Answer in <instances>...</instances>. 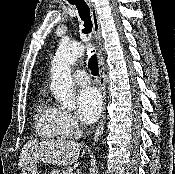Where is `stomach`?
I'll return each mask as SVG.
<instances>
[{"label": "stomach", "instance_id": "0dacf381", "mask_svg": "<svg viewBox=\"0 0 175 174\" xmlns=\"http://www.w3.org/2000/svg\"><path fill=\"white\" fill-rule=\"evenodd\" d=\"M21 174H38V171H37V166L36 164H28L26 165L23 169H22V172ZM54 174H60V172L58 170H56L54 172Z\"/></svg>", "mask_w": 175, "mask_h": 174}]
</instances>
